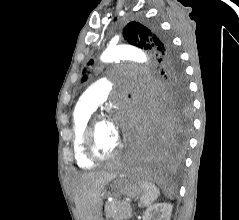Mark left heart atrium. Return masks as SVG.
<instances>
[{"label": "left heart atrium", "instance_id": "39dd6f15", "mask_svg": "<svg viewBox=\"0 0 239 220\" xmlns=\"http://www.w3.org/2000/svg\"><path fill=\"white\" fill-rule=\"evenodd\" d=\"M125 113V110L118 111L113 120L111 121L114 129L118 133L119 126H122L124 128H127L129 126V120L130 118L125 117L123 114ZM119 134V133H118Z\"/></svg>", "mask_w": 239, "mask_h": 220}]
</instances>
